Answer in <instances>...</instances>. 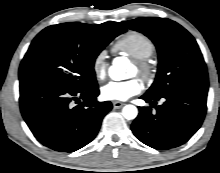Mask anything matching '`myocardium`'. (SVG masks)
I'll list each match as a JSON object with an SVG mask.
<instances>
[{"label":"myocardium","instance_id":"1","mask_svg":"<svg viewBox=\"0 0 220 173\" xmlns=\"http://www.w3.org/2000/svg\"><path fill=\"white\" fill-rule=\"evenodd\" d=\"M134 67L136 68V73L146 81H150L154 76V66L147 59L144 60H134Z\"/></svg>","mask_w":220,"mask_h":173}]
</instances>
